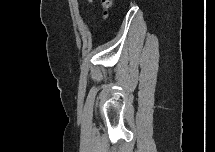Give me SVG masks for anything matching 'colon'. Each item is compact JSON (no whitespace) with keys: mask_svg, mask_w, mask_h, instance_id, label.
Returning <instances> with one entry per match:
<instances>
[{"mask_svg":"<svg viewBox=\"0 0 215 152\" xmlns=\"http://www.w3.org/2000/svg\"><path fill=\"white\" fill-rule=\"evenodd\" d=\"M112 0H101V7H102V17L107 18L109 14V9L112 6Z\"/></svg>","mask_w":215,"mask_h":152,"instance_id":"colon-1","label":"colon"}]
</instances>
